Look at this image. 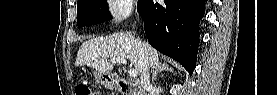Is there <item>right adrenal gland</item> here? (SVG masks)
I'll return each instance as SVG.
<instances>
[{"label": "right adrenal gland", "instance_id": "2a0ac1e0", "mask_svg": "<svg viewBox=\"0 0 277 95\" xmlns=\"http://www.w3.org/2000/svg\"><path fill=\"white\" fill-rule=\"evenodd\" d=\"M168 71H171V69L168 68V67L165 66V65H162V66H159V67H157V68L152 69V70H151V72H152V80H151L152 84H154V81L156 80V76H157L158 74H160V73H162V72H168Z\"/></svg>", "mask_w": 277, "mask_h": 95}]
</instances>
